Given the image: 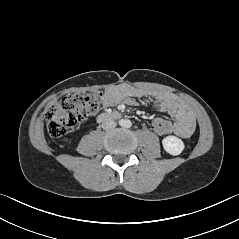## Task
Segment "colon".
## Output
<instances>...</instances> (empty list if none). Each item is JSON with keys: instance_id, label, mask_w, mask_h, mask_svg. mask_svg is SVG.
Instances as JSON below:
<instances>
[{"instance_id": "1", "label": "colon", "mask_w": 239, "mask_h": 239, "mask_svg": "<svg viewBox=\"0 0 239 239\" xmlns=\"http://www.w3.org/2000/svg\"><path fill=\"white\" fill-rule=\"evenodd\" d=\"M103 95L100 91L89 90L64 96L46 113L47 130L50 136H64L76 126L84 123L87 117L100 108ZM170 120L165 116L156 117L151 125L152 132L159 137L171 131Z\"/></svg>"}]
</instances>
